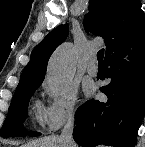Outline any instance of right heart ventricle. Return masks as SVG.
Returning <instances> with one entry per match:
<instances>
[{
    "mask_svg": "<svg viewBox=\"0 0 145 147\" xmlns=\"http://www.w3.org/2000/svg\"><path fill=\"white\" fill-rule=\"evenodd\" d=\"M36 116L38 119L41 117V108L39 106H36Z\"/></svg>",
    "mask_w": 145,
    "mask_h": 147,
    "instance_id": "1",
    "label": "right heart ventricle"
}]
</instances>
